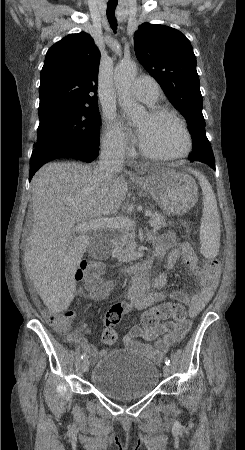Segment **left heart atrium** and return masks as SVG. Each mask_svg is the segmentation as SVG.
<instances>
[{"label": "left heart atrium", "instance_id": "39dd6f15", "mask_svg": "<svg viewBox=\"0 0 245 450\" xmlns=\"http://www.w3.org/2000/svg\"><path fill=\"white\" fill-rule=\"evenodd\" d=\"M139 140H140V142H141V135H140V133H139Z\"/></svg>", "mask_w": 245, "mask_h": 450}]
</instances>
